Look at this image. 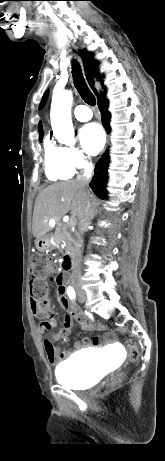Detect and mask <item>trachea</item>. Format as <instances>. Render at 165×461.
<instances>
[{
    "label": "trachea",
    "mask_w": 165,
    "mask_h": 461,
    "mask_svg": "<svg viewBox=\"0 0 165 461\" xmlns=\"http://www.w3.org/2000/svg\"><path fill=\"white\" fill-rule=\"evenodd\" d=\"M72 76H73V81L74 85L80 94L81 98L89 105H95L96 100L92 92L90 91L89 87L86 84V81L83 77L81 68L77 62L73 63L72 66ZM87 80L88 83L91 87H93L94 80L91 74L87 71L86 72ZM95 91V90H94ZM96 92V91H95Z\"/></svg>",
    "instance_id": "3493384b"
}]
</instances>
